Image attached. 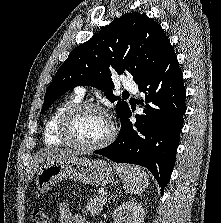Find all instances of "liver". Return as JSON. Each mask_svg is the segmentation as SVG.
<instances>
[{
  "instance_id": "obj_1",
  "label": "liver",
  "mask_w": 221,
  "mask_h": 223,
  "mask_svg": "<svg viewBox=\"0 0 221 223\" xmlns=\"http://www.w3.org/2000/svg\"><path fill=\"white\" fill-rule=\"evenodd\" d=\"M78 152L70 149H59L55 148L52 150H46L44 152H40L36 158L35 167L39 168V166H43L44 164L54 162L56 160L62 158L73 157L77 155Z\"/></svg>"
}]
</instances>
